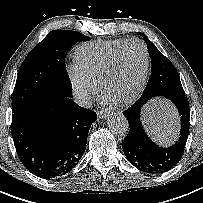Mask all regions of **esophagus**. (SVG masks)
I'll return each instance as SVG.
<instances>
[{
	"label": "esophagus",
	"instance_id": "34e87169",
	"mask_svg": "<svg viewBox=\"0 0 203 203\" xmlns=\"http://www.w3.org/2000/svg\"><path fill=\"white\" fill-rule=\"evenodd\" d=\"M97 116H98L99 119H104V118H106L108 116V112H106V111H98Z\"/></svg>",
	"mask_w": 203,
	"mask_h": 203
}]
</instances>
